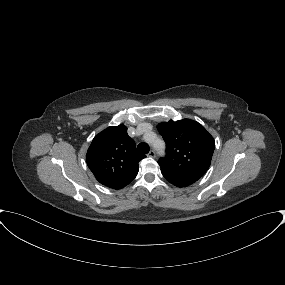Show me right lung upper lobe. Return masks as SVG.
<instances>
[{
    "mask_svg": "<svg viewBox=\"0 0 285 285\" xmlns=\"http://www.w3.org/2000/svg\"><path fill=\"white\" fill-rule=\"evenodd\" d=\"M135 143L127 134V127H108L96 135L88 149L86 162L95 178L103 185L121 189L138 174L140 160Z\"/></svg>",
    "mask_w": 285,
    "mask_h": 285,
    "instance_id": "right-lung-upper-lobe-1",
    "label": "right lung upper lobe"
}]
</instances>
